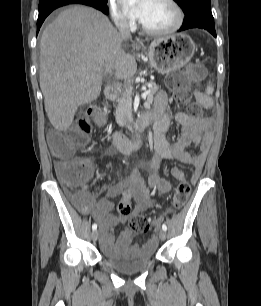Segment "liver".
<instances>
[{"mask_svg": "<svg viewBox=\"0 0 261 306\" xmlns=\"http://www.w3.org/2000/svg\"><path fill=\"white\" fill-rule=\"evenodd\" d=\"M122 44L109 19L91 7L65 9L44 29L39 82L55 129L68 130L77 108L98 98L109 65L117 79L135 75L136 60Z\"/></svg>", "mask_w": 261, "mask_h": 306, "instance_id": "liver-1", "label": "liver"}]
</instances>
